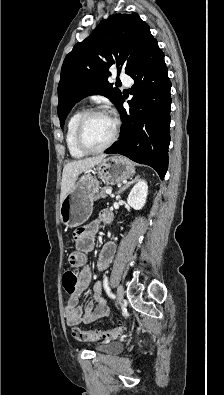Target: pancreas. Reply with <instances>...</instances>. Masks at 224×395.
<instances>
[{"label":"pancreas","mask_w":224,"mask_h":395,"mask_svg":"<svg viewBox=\"0 0 224 395\" xmlns=\"http://www.w3.org/2000/svg\"><path fill=\"white\" fill-rule=\"evenodd\" d=\"M107 189H111V187L106 186V187L101 188L100 191L95 195L94 199L98 200L100 198H106L107 197V193H106Z\"/></svg>","instance_id":"obj_1"}]
</instances>
